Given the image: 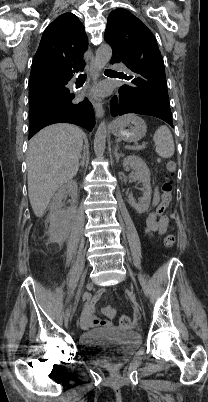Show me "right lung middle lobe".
I'll use <instances>...</instances> for the list:
<instances>
[{
    "label": "right lung middle lobe",
    "mask_w": 208,
    "mask_h": 402,
    "mask_svg": "<svg viewBox=\"0 0 208 402\" xmlns=\"http://www.w3.org/2000/svg\"><path fill=\"white\" fill-rule=\"evenodd\" d=\"M69 95V90L65 86H43L38 90H29L30 124L42 113L67 101Z\"/></svg>",
    "instance_id": "1"
}]
</instances>
